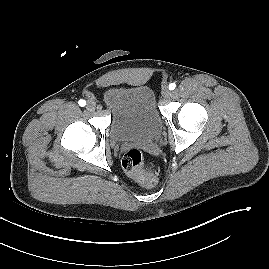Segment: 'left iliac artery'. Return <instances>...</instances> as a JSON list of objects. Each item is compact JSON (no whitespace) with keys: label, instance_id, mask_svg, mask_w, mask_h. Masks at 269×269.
Returning <instances> with one entry per match:
<instances>
[{"label":"left iliac artery","instance_id":"obj_1","mask_svg":"<svg viewBox=\"0 0 269 269\" xmlns=\"http://www.w3.org/2000/svg\"><path fill=\"white\" fill-rule=\"evenodd\" d=\"M176 87V84L175 83H170L169 84V90H174Z\"/></svg>","mask_w":269,"mask_h":269}]
</instances>
